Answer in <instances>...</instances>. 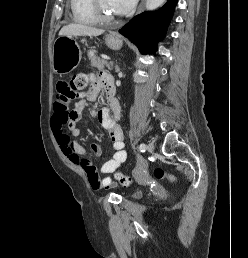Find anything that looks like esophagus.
<instances>
[{
	"instance_id": "obj_1",
	"label": "esophagus",
	"mask_w": 248,
	"mask_h": 258,
	"mask_svg": "<svg viewBox=\"0 0 248 258\" xmlns=\"http://www.w3.org/2000/svg\"><path fill=\"white\" fill-rule=\"evenodd\" d=\"M144 1H145V0H142V1L140 2L139 7H138V10H137V14L142 11L143 6H144Z\"/></svg>"
}]
</instances>
